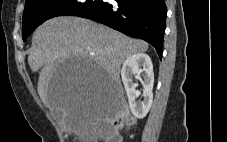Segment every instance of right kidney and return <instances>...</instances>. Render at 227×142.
<instances>
[{
	"instance_id": "ca27d5eb",
	"label": "right kidney",
	"mask_w": 227,
	"mask_h": 142,
	"mask_svg": "<svg viewBox=\"0 0 227 142\" xmlns=\"http://www.w3.org/2000/svg\"><path fill=\"white\" fill-rule=\"evenodd\" d=\"M141 74L143 79L140 77ZM121 77L132 114L137 119L144 118L153 101L154 73L150 57L144 53L129 56L123 62ZM134 78L140 80L143 85V100H136L139 94L136 91L137 84L134 82Z\"/></svg>"
}]
</instances>
